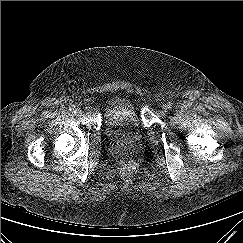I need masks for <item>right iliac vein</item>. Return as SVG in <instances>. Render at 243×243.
Listing matches in <instances>:
<instances>
[{"label":"right iliac vein","instance_id":"obj_1","mask_svg":"<svg viewBox=\"0 0 243 243\" xmlns=\"http://www.w3.org/2000/svg\"><path fill=\"white\" fill-rule=\"evenodd\" d=\"M75 114L77 116H82L83 115V111L81 109H77Z\"/></svg>","mask_w":243,"mask_h":243}]
</instances>
